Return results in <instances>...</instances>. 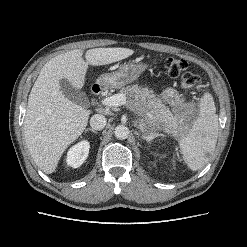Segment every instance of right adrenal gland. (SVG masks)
I'll return each mask as SVG.
<instances>
[{"instance_id":"right-adrenal-gland-1","label":"right adrenal gland","mask_w":247,"mask_h":247,"mask_svg":"<svg viewBox=\"0 0 247 247\" xmlns=\"http://www.w3.org/2000/svg\"><path fill=\"white\" fill-rule=\"evenodd\" d=\"M87 131H91V132H93V133H95V134L98 133L96 130H94V129H92V128H87V129H85V132H87Z\"/></svg>"}]
</instances>
